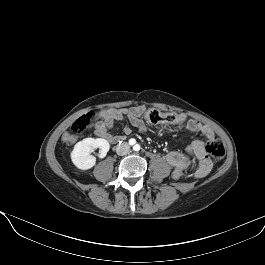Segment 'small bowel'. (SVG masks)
<instances>
[{
  "label": "small bowel",
  "mask_w": 265,
  "mask_h": 265,
  "mask_svg": "<svg viewBox=\"0 0 265 265\" xmlns=\"http://www.w3.org/2000/svg\"><path fill=\"white\" fill-rule=\"evenodd\" d=\"M144 110L143 107L114 110L96 123L95 132L99 137L108 142L117 143L122 139V136L113 133L115 123H123L126 120L138 131L143 132L146 130V124L142 119V112ZM182 124L175 125L179 126ZM185 126L190 132L201 133L207 139L215 136V132L210 126L203 125L199 121L189 120L185 123ZM131 133L132 128L124 125L123 134L130 135ZM166 160L172 167V176L174 179L181 178L184 170L190 166L195 168L194 176L198 179L206 177L212 168V163L206 154L204 143L201 140L192 141L186 148L185 153L178 151L169 152L166 155Z\"/></svg>",
  "instance_id": "c3829d8e"
}]
</instances>
